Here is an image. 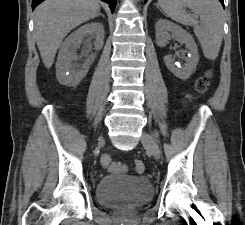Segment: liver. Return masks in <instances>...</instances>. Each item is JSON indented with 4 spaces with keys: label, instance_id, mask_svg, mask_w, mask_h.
<instances>
[{
    "label": "liver",
    "instance_id": "obj_1",
    "mask_svg": "<svg viewBox=\"0 0 245 225\" xmlns=\"http://www.w3.org/2000/svg\"><path fill=\"white\" fill-rule=\"evenodd\" d=\"M99 12L97 0H45L35 9L34 34L46 68L52 66L65 36Z\"/></svg>",
    "mask_w": 245,
    "mask_h": 225
}]
</instances>
